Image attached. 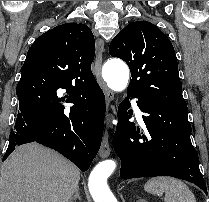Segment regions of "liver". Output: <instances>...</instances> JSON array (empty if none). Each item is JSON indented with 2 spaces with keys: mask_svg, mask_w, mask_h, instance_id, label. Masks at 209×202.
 <instances>
[{
  "mask_svg": "<svg viewBox=\"0 0 209 202\" xmlns=\"http://www.w3.org/2000/svg\"><path fill=\"white\" fill-rule=\"evenodd\" d=\"M79 179V169L55 151L26 144L2 165L0 202H68Z\"/></svg>",
  "mask_w": 209,
  "mask_h": 202,
  "instance_id": "1",
  "label": "liver"
}]
</instances>
